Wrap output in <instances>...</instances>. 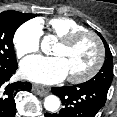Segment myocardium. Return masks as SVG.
<instances>
[{
	"label": "myocardium",
	"mask_w": 117,
	"mask_h": 117,
	"mask_svg": "<svg viewBox=\"0 0 117 117\" xmlns=\"http://www.w3.org/2000/svg\"><path fill=\"white\" fill-rule=\"evenodd\" d=\"M85 36H89L95 41L97 45V50H98L97 59L95 64L84 74L79 76H68V81L71 83H83L92 79L100 71L104 63L105 49H104L103 42L100 39V37L93 31L85 29V30L69 33L59 38L58 43H60L63 46H71L77 40Z\"/></svg>",
	"instance_id": "1"
}]
</instances>
